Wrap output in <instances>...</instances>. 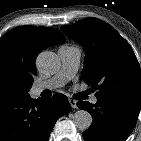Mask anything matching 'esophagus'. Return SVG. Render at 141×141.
Returning <instances> with one entry per match:
<instances>
[{"label":"esophagus","instance_id":"obj_1","mask_svg":"<svg viewBox=\"0 0 141 141\" xmlns=\"http://www.w3.org/2000/svg\"><path fill=\"white\" fill-rule=\"evenodd\" d=\"M69 103L72 108H77V101L74 99H69Z\"/></svg>","mask_w":141,"mask_h":141}]
</instances>
